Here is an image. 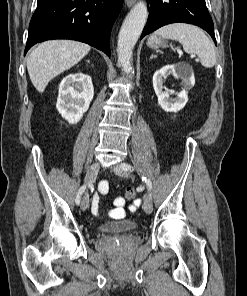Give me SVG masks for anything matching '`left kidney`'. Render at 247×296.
Wrapping results in <instances>:
<instances>
[{
    "mask_svg": "<svg viewBox=\"0 0 247 296\" xmlns=\"http://www.w3.org/2000/svg\"><path fill=\"white\" fill-rule=\"evenodd\" d=\"M173 75L177 79H182L183 90L177 94L175 99H171L167 92H163V79ZM195 78L191 67L185 63L176 65H166L153 75V87L158 97V104L166 112H178L184 108L188 102V91L194 86Z\"/></svg>",
    "mask_w": 247,
    "mask_h": 296,
    "instance_id": "5707ae66",
    "label": "left kidney"
}]
</instances>
